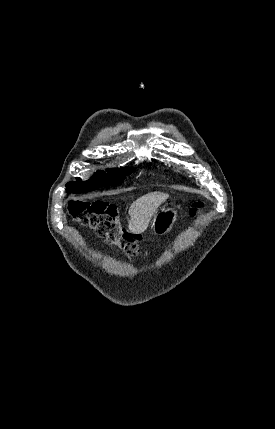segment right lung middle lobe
Here are the masks:
<instances>
[{
	"label": "right lung middle lobe",
	"instance_id": "1",
	"mask_svg": "<svg viewBox=\"0 0 275 429\" xmlns=\"http://www.w3.org/2000/svg\"><path fill=\"white\" fill-rule=\"evenodd\" d=\"M134 171V168H131L130 170H128V168L112 169L108 170V173L98 171L87 181H81L80 178H77V181L67 183V190L69 192L78 193L80 191L96 189L100 186L118 184L125 178V175H129Z\"/></svg>",
	"mask_w": 275,
	"mask_h": 429
}]
</instances>
